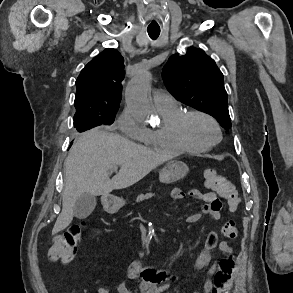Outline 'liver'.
I'll return each instance as SVG.
<instances>
[{"mask_svg": "<svg viewBox=\"0 0 293 293\" xmlns=\"http://www.w3.org/2000/svg\"><path fill=\"white\" fill-rule=\"evenodd\" d=\"M172 157L99 128L82 133L64 163L62 211L53 233L69 226L74 205L83 194L107 196L113 190L130 187ZM117 166L119 172L110 179L109 170Z\"/></svg>", "mask_w": 293, "mask_h": 293, "instance_id": "liver-1", "label": "liver"}]
</instances>
